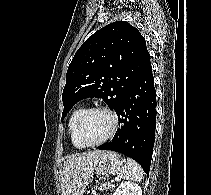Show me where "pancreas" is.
<instances>
[{"mask_svg": "<svg viewBox=\"0 0 211 195\" xmlns=\"http://www.w3.org/2000/svg\"><path fill=\"white\" fill-rule=\"evenodd\" d=\"M108 188H111V187H110L109 184H107V183L102 184L101 186L98 187V189H99L100 191L106 190V189H108Z\"/></svg>", "mask_w": 211, "mask_h": 195, "instance_id": "pancreas-1", "label": "pancreas"}]
</instances>
